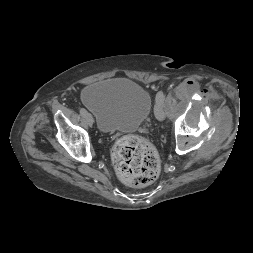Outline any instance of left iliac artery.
Segmentation results:
<instances>
[{"instance_id": "obj_1", "label": "left iliac artery", "mask_w": 253, "mask_h": 253, "mask_svg": "<svg viewBox=\"0 0 253 253\" xmlns=\"http://www.w3.org/2000/svg\"><path fill=\"white\" fill-rule=\"evenodd\" d=\"M164 100H165V95L162 91H159L157 94H156V103L158 102H162L164 103Z\"/></svg>"}]
</instances>
